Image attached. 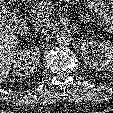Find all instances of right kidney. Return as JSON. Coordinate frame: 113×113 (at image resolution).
<instances>
[{
	"instance_id": "obj_1",
	"label": "right kidney",
	"mask_w": 113,
	"mask_h": 113,
	"mask_svg": "<svg viewBox=\"0 0 113 113\" xmlns=\"http://www.w3.org/2000/svg\"><path fill=\"white\" fill-rule=\"evenodd\" d=\"M40 54L38 47L20 50L13 64V73L21 77L33 73L39 65Z\"/></svg>"
}]
</instances>
